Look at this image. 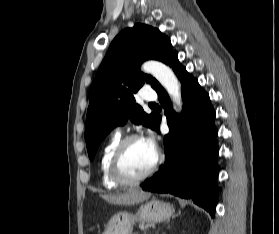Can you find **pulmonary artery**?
Segmentation results:
<instances>
[{"label":"pulmonary artery","instance_id":"1","mask_svg":"<svg viewBox=\"0 0 279 234\" xmlns=\"http://www.w3.org/2000/svg\"><path fill=\"white\" fill-rule=\"evenodd\" d=\"M141 97L144 101H154L157 95L154 91H142ZM117 130H119V128H117Z\"/></svg>","mask_w":279,"mask_h":234}]
</instances>
